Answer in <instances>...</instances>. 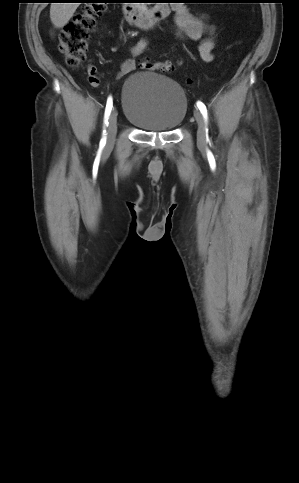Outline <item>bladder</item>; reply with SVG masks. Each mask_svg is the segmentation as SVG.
<instances>
[{
	"instance_id": "obj_1",
	"label": "bladder",
	"mask_w": 299,
	"mask_h": 483,
	"mask_svg": "<svg viewBox=\"0 0 299 483\" xmlns=\"http://www.w3.org/2000/svg\"><path fill=\"white\" fill-rule=\"evenodd\" d=\"M126 121L147 132H170L184 120L187 98L174 80L153 71L132 73L121 91Z\"/></svg>"
}]
</instances>
